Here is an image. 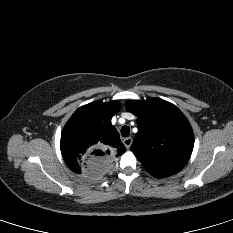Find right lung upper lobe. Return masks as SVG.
<instances>
[{
  "label": "right lung upper lobe",
  "mask_w": 233,
  "mask_h": 233,
  "mask_svg": "<svg viewBox=\"0 0 233 233\" xmlns=\"http://www.w3.org/2000/svg\"><path fill=\"white\" fill-rule=\"evenodd\" d=\"M118 101L92 102L78 108L61 134V153L75 173L99 178L113 169L126 149L111 124Z\"/></svg>",
  "instance_id": "right-lung-upper-lobe-1"
}]
</instances>
